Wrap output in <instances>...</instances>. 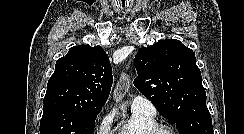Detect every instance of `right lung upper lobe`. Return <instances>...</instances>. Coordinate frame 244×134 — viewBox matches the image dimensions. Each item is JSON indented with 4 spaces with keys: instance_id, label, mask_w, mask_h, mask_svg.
I'll return each mask as SVG.
<instances>
[{
    "instance_id": "1",
    "label": "right lung upper lobe",
    "mask_w": 244,
    "mask_h": 134,
    "mask_svg": "<svg viewBox=\"0 0 244 134\" xmlns=\"http://www.w3.org/2000/svg\"><path fill=\"white\" fill-rule=\"evenodd\" d=\"M112 80L109 57L101 46L71 47L67 55L56 62L44 105L61 103L99 113L108 98Z\"/></svg>"
}]
</instances>
